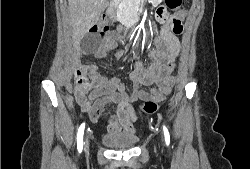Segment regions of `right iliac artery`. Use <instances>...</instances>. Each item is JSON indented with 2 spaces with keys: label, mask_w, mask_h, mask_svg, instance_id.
Instances as JSON below:
<instances>
[{
  "label": "right iliac artery",
  "mask_w": 250,
  "mask_h": 169,
  "mask_svg": "<svg viewBox=\"0 0 250 169\" xmlns=\"http://www.w3.org/2000/svg\"><path fill=\"white\" fill-rule=\"evenodd\" d=\"M84 128H85V123L81 124L77 133V148H78L79 153H81L83 149Z\"/></svg>",
  "instance_id": "obj_1"
}]
</instances>
